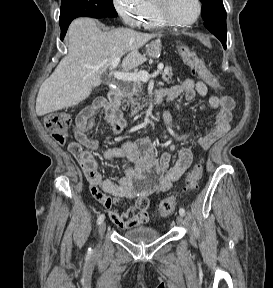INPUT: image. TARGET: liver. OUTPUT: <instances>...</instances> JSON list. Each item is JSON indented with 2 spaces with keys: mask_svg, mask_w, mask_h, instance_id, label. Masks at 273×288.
<instances>
[{
  "mask_svg": "<svg viewBox=\"0 0 273 288\" xmlns=\"http://www.w3.org/2000/svg\"><path fill=\"white\" fill-rule=\"evenodd\" d=\"M157 34L128 28L101 31L91 18L74 20L68 30V54L40 86L36 114L43 116L78 105L101 84V75L116 57L126 55L121 67L130 71L146 58L139 49Z\"/></svg>",
  "mask_w": 273,
  "mask_h": 288,
  "instance_id": "1",
  "label": "liver"
}]
</instances>
